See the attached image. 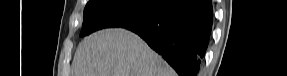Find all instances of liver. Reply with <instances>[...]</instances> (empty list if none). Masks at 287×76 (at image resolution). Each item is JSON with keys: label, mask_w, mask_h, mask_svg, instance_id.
Returning a JSON list of instances; mask_svg holds the SVG:
<instances>
[{"label": "liver", "mask_w": 287, "mask_h": 76, "mask_svg": "<svg viewBox=\"0 0 287 76\" xmlns=\"http://www.w3.org/2000/svg\"><path fill=\"white\" fill-rule=\"evenodd\" d=\"M73 76H176L138 35L115 28L93 33L79 44Z\"/></svg>", "instance_id": "1"}]
</instances>
